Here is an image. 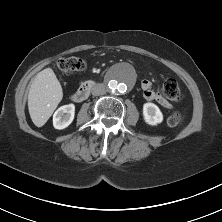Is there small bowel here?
Returning a JSON list of instances; mask_svg holds the SVG:
<instances>
[{
    "label": "small bowel",
    "mask_w": 222,
    "mask_h": 222,
    "mask_svg": "<svg viewBox=\"0 0 222 222\" xmlns=\"http://www.w3.org/2000/svg\"><path fill=\"white\" fill-rule=\"evenodd\" d=\"M141 88L143 90V94L146 100L156 101L164 108L171 109V104L153 89L152 83L149 80H142Z\"/></svg>",
    "instance_id": "1"
}]
</instances>
